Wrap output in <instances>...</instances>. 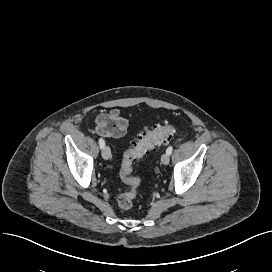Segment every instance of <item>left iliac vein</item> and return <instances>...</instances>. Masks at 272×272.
Masks as SVG:
<instances>
[{"label":"left iliac vein","instance_id":"left-iliac-vein-1","mask_svg":"<svg viewBox=\"0 0 272 272\" xmlns=\"http://www.w3.org/2000/svg\"><path fill=\"white\" fill-rule=\"evenodd\" d=\"M170 161V157H169V154L167 153H164L162 156H161V162L162 164L164 165H167Z\"/></svg>","mask_w":272,"mask_h":272}]
</instances>
